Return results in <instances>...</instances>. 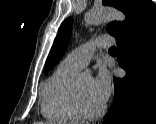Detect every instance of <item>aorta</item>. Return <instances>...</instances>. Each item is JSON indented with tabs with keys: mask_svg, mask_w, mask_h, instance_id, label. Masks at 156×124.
I'll use <instances>...</instances> for the list:
<instances>
[{
	"mask_svg": "<svg viewBox=\"0 0 156 124\" xmlns=\"http://www.w3.org/2000/svg\"><path fill=\"white\" fill-rule=\"evenodd\" d=\"M125 15L114 8L92 9L85 15V22L90 25H97L104 22L118 21L124 22Z\"/></svg>",
	"mask_w": 156,
	"mask_h": 124,
	"instance_id": "obj_1",
	"label": "aorta"
}]
</instances>
